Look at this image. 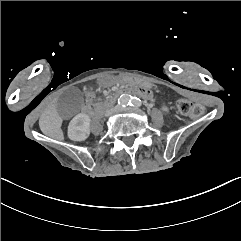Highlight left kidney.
<instances>
[{
  "mask_svg": "<svg viewBox=\"0 0 241 241\" xmlns=\"http://www.w3.org/2000/svg\"><path fill=\"white\" fill-rule=\"evenodd\" d=\"M159 109L167 115L171 113L170 107L167 105L165 100L159 102Z\"/></svg>",
  "mask_w": 241,
  "mask_h": 241,
  "instance_id": "5707ae66",
  "label": "left kidney"
}]
</instances>
